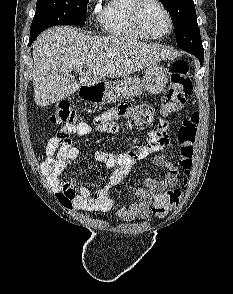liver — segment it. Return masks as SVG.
I'll return each mask as SVG.
<instances>
[{
  "label": "liver",
  "instance_id": "6515ba94",
  "mask_svg": "<svg viewBox=\"0 0 233 294\" xmlns=\"http://www.w3.org/2000/svg\"><path fill=\"white\" fill-rule=\"evenodd\" d=\"M34 101L47 106L69 97L82 86L109 78L127 77L173 54L157 44L124 37H92L76 27H53L33 44ZM82 65L79 81L71 71Z\"/></svg>",
  "mask_w": 233,
  "mask_h": 294
}]
</instances>
